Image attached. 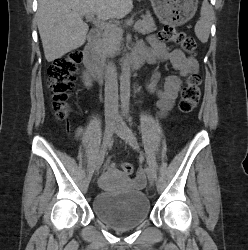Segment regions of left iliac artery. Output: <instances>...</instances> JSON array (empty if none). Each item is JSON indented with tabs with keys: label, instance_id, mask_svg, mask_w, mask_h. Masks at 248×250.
Wrapping results in <instances>:
<instances>
[{
	"label": "left iliac artery",
	"instance_id": "obj_1",
	"mask_svg": "<svg viewBox=\"0 0 248 250\" xmlns=\"http://www.w3.org/2000/svg\"><path fill=\"white\" fill-rule=\"evenodd\" d=\"M128 121H129V124L132 125V120H131V118L129 117V115H128Z\"/></svg>",
	"mask_w": 248,
	"mask_h": 250
}]
</instances>
